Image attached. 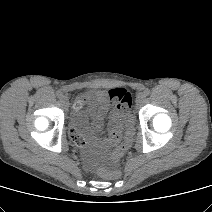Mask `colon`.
I'll return each instance as SVG.
<instances>
[{
    "label": "colon",
    "instance_id": "1",
    "mask_svg": "<svg viewBox=\"0 0 212 212\" xmlns=\"http://www.w3.org/2000/svg\"><path fill=\"white\" fill-rule=\"evenodd\" d=\"M109 94H110V98L114 101V103H116L117 108L120 112L124 113L129 110V108L131 107V95L125 89H122V88L112 89ZM132 136H133V122L132 120H130L128 123V131H127L126 139L115 150L113 154V159L115 163H118L121 157L128 150L131 143ZM72 139L79 145L83 144V141L73 134H72ZM98 174L104 178L117 179L120 176V171L116 167L101 168L99 169Z\"/></svg>",
    "mask_w": 212,
    "mask_h": 212
}]
</instances>
